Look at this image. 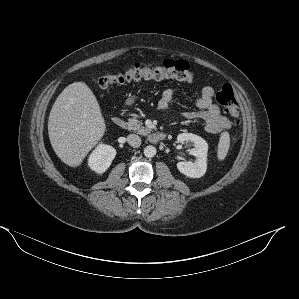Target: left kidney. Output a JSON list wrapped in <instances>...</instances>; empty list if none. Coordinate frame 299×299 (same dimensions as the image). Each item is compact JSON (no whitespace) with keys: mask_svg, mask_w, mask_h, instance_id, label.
<instances>
[{"mask_svg":"<svg viewBox=\"0 0 299 299\" xmlns=\"http://www.w3.org/2000/svg\"><path fill=\"white\" fill-rule=\"evenodd\" d=\"M178 142L184 144L192 142L194 148L191 150V155L196 158L195 162L180 161L177 163L178 170L187 177L200 178L207 170V142L192 133H181L177 136Z\"/></svg>","mask_w":299,"mask_h":299,"instance_id":"1","label":"left kidney"}]
</instances>
